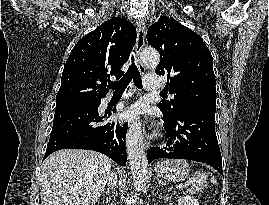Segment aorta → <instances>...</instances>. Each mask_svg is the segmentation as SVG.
<instances>
[{"instance_id": "762f6f07", "label": "aorta", "mask_w": 269, "mask_h": 205, "mask_svg": "<svg viewBox=\"0 0 269 205\" xmlns=\"http://www.w3.org/2000/svg\"><path fill=\"white\" fill-rule=\"evenodd\" d=\"M141 60L147 66L156 67L159 64L160 55L154 49H144ZM126 148L133 177V187L136 191H141L148 179V161L140 123H134L129 128L126 136Z\"/></svg>"}]
</instances>
